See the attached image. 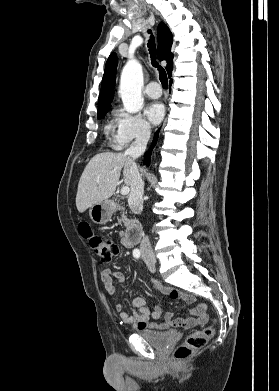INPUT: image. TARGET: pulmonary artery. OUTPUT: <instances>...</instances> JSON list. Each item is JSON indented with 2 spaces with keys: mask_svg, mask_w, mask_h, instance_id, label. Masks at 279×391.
Masks as SVG:
<instances>
[{
  "mask_svg": "<svg viewBox=\"0 0 279 391\" xmlns=\"http://www.w3.org/2000/svg\"><path fill=\"white\" fill-rule=\"evenodd\" d=\"M145 94L150 98H159L162 95V90L157 82H150L145 88Z\"/></svg>",
  "mask_w": 279,
  "mask_h": 391,
  "instance_id": "e3ab8cb5",
  "label": "pulmonary artery"
}]
</instances>
